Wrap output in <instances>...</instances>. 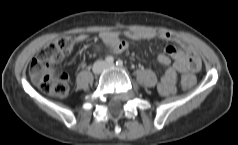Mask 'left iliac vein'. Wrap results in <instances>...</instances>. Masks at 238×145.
Instances as JSON below:
<instances>
[{
  "label": "left iliac vein",
  "mask_w": 238,
  "mask_h": 145,
  "mask_svg": "<svg viewBox=\"0 0 238 145\" xmlns=\"http://www.w3.org/2000/svg\"><path fill=\"white\" fill-rule=\"evenodd\" d=\"M114 67V64H105L106 69H111Z\"/></svg>",
  "instance_id": "4c4485c4"
}]
</instances>
